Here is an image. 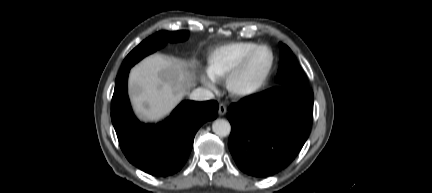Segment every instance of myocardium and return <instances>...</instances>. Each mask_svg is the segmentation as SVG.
Listing matches in <instances>:
<instances>
[{"label":"myocardium","instance_id":"f54148a6","mask_svg":"<svg viewBox=\"0 0 432 193\" xmlns=\"http://www.w3.org/2000/svg\"><path fill=\"white\" fill-rule=\"evenodd\" d=\"M262 49H267L271 54V62L269 69L267 70L264 77L256 84L251 86H243L239 82V78L252 60V58ZM276 64V57L273 49L268 45H258L256 48L251 50L239 64L227 75L226 85L231 93L236 98L243 99L249 98L260 93L269 83L270 78L273 74Z\"/></svg>","mask_w":432,"mask_h":193}]
</instances>
